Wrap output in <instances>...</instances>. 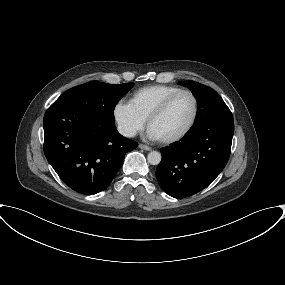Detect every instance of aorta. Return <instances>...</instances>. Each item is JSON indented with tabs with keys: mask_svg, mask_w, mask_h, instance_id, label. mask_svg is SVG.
Returning a JSON list of instances; mask_svg holds the SVG:
<instances>
[{
	"mask_svg": "<svg viewBox=\"0 0 285 285\" xmlns=\"http://www.w3.org/2000/svg\"><path fill=\"white\" fill-rule=\"evenodd\" d=\"M147 160L151 165H158L161 161V154L158 151H151L147 156Z\"/></svg>",
	"mask_w": 285,
	"mask_h": 285,
	"instance_id": "762f6f07",
	"label": "aorta"
}]
</instances>
